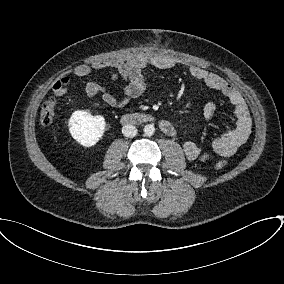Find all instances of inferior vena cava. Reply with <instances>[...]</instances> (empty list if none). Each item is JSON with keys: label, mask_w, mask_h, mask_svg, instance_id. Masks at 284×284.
I'll return each mask as SVG.
<instances>
[{"label": "inferior vena cava", "mask_w": 284, "mask_h": 284, "mask_svg": "<svg viewBox=\"0 0 284 284\" xmlns=\"http://www.w3.org/2000/svg\"><path fill=\"white\" fill-rule=\"evenodd\" d=\"M122 133L126 137H134L137 134V128L133 125H125L122 128Z\"/></svg>", "instance_id": "obj_1"}]
</instances>
